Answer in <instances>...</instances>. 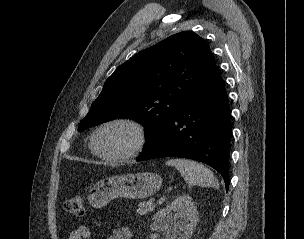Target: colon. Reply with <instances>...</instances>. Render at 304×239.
<instances>
[{
	"mask_svg": "<svg viewBox=\"0 0 304 239\" xmlns=\"http://www.w3.org/2000/svg\"><path fill=\"white\" fill-rule=\"evenodd\" d=\"M64 209L73 216L80 217L84 214V199L81 196H73L64 202Z\"/></svg>",
	"mask_w": 304,
	"mask_h": 239,
	"instance_id": "1",
	"label": "colon"
}]
</instances>
